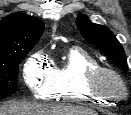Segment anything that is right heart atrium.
<instances>
[{
    "mask_svg": "<svg viewBox=\"0 0 131 115\" xmlns=\"http://www.w3.org/2000/svg\"><path fill=\"white\" fill-rule=\"evenodd\" d=\"M23 79L31 93L39 99H48L56 89V72L42 52L31 54L23 65Z\"/></svg>",
    "mask_w": 131,
    "mask_h": 115,
    "instance_id": "right-heart-atrium-1",
    "label": "right heart atrium"
}]
</instances>
